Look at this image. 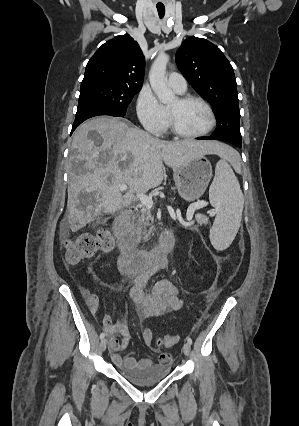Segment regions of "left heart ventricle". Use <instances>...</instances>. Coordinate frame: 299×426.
Segmentation results:
<instances>
[{"label":"left heart ventricle","mask_w":299,"mask_h":426,"mask_svg":"<svg viewBox=\"0 0 299 426\" xmlns=\"http://www.w3.org/2000/svg\"><path fill=\"white\" fill-rule=\"evenodd\" d=\"M169 109L175 113L180 129L187 133H199L209 126V114L205 107L198 102L180 104L176 99Z\"/></svg>","instance_id":"1"}]
</instances>
